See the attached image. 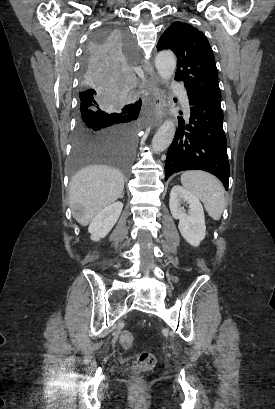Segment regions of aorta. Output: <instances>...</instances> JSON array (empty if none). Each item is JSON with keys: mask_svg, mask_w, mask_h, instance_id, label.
<instances>
[{"mask_svg": "<svg viewBox=\"0 0 275 409\" xmlns=\"http://www.w3.org/2000/svg\"><path fill=\"white\" fill-rule=\"evenodd\" d=\"M155 66L158 74L162 78H171L172 74L175 72L176 68V56L171 50H161L155 56ZM176 126L174 120H164L157 132H155L152 138V148L153 150H166L169 144H171Z\"/></svg>", "mask_w": 275, "mask_h": 409, "instance_id": "762f6f07", "label": "aorta"}]
</instances>
